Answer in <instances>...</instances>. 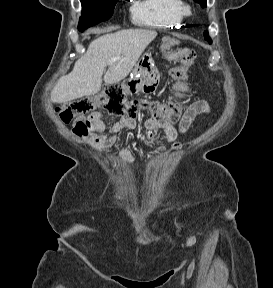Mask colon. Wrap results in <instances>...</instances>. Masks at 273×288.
Masks as SVG:
<instances>
[{"mask_svg": "<svg viewBox=\"0 0 273 288\" xmlns=\"http://www.w3.org/2000/svg\"><path fill=\"white\" fill-rule=\"evenodd\" d=\"M167 57L180 63L172 70L173 78L179 82L176 99L167 104L151 101L145 106V109L154 118L174 123L181 116V95L185 91L183 82L195 64L196 53L191 48L182 47L168 51ZM100 104L113 115L132 116L141 110L139 104L126 100L121 90L110 88L101 97H83L73 100L58 108L57 114L64 123L74 122L73 131L76 135L86 136L93 127L94 118L98 117L93 111Z\"/></svg>", "mask_w": 273, "mask_h": 288, "instance_id": "5ec220e1", "label": "colon"}]
</instances>
